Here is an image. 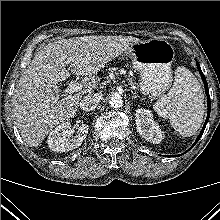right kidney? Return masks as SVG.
<instances>
[{
    "label": "right kidney",
    "mask_w": 220,
    "mask_h": 220,
    "mask_svg": "<svg viewBox=\"0 0 220 220\" xmlns=\"http://www.w3.org/2000/svg\"><path fill=\"white\" fill-rule=\"evenodd\" d=\"M88 125L81 124L76 132V135L69 138L71 134L70 122H63L53 129L48 136V146L56 152H68L78 148L88 133Z\"/></svg>",
    "instance_id": "right-kidney-1"
}]
</instances>
